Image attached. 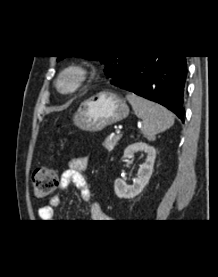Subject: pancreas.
<instances>
[{
  "label": "pancreas",
  "instance_id": "cf45deb5",
  "mask_svg": "<svg viewBox=\"0 0 218 277\" xmlns=\"http://www.w3.org/2000/svg\"><path fill=\"white\" fill-rule=\"evenodd\" d=\"M121 137H122L121 134H118L112 137H107L103 142L104 148L107 150H112L118 144Z\"/></svg>",
  "mask_w": 218,
  "mask_h": 277
}]
</instances>
